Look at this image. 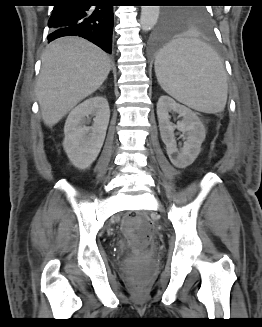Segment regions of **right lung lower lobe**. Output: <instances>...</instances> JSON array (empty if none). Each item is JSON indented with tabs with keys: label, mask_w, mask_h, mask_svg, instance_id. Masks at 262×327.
Returning <instances> with one entry per match:
<instances>
[{
	"label": "right lung lower lobe",
	"mask_w": 262,
	"mask_h": 327,
	"mask_svg": "<svg viewBox=\"0 0 262 327\" xmlns=\"http://www.w3.org/2000/svg\"><path fill=\"white\" fill-rule=\"evenodd\" d=\"M48 25V42L62 36L83 37L107 53L112 50L113 6L100 1L91 6L86 0H59Z\"/></svg>",
	"instance_id": "98d812e1"
}]
</instances>
